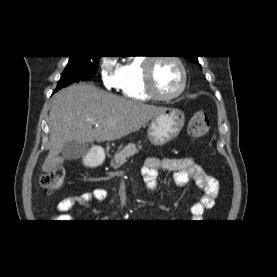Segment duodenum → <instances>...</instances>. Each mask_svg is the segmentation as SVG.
Segmentation results:
<instances>
[{
    "mask_svg": "<svg viewBox=\"0 0 277 277\" xmlns=\"http://www.w3.org/2000/svg\"><path fill=\"white\" fill-rule=\"evenodd\" d=\"M104 158V152L100 150H92L86 158V165L88 167H96L104 160Z\"/></svg>",
    "mask_w": 277,
    "mask_h": 277,
    "instance_id": "410a0bca",
    "label": "duodenum"
}]
</instances>
